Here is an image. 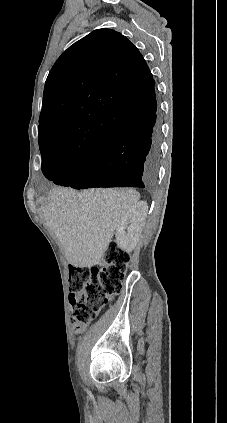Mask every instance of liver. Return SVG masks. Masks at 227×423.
Here are the masks:
<instances>
[{
    "instance_id": "liver-1",
    "label": "liver",
    "mask_w": 227,
    "mask_h": 423,
    "mask_svg": "<svg viewBox=\"0 0 227 423\" xmlns=\"http://www.w3.org/2000/svg\"><path fill=\"white\" fill-rule=\"evenodd\" d=\"M138 200L139 192L130 188H90L84 192L54 188L41 210L68 261L75 267H91L103 259L118 223Z\"/></svg>"
}]
</instances>
